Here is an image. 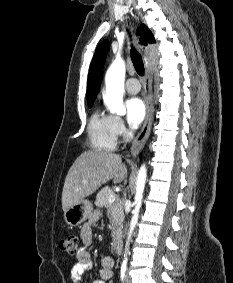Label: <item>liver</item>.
<instances>
[{"label":"liver","mask_w":233,"mask_h":283,"mask_svg":"<svg viewBox=\"0 0 233 283\" xmlns=\"http://www.w3.org/2000/svg\"><path fill=\"white\" fill-rule=\"evenodd\" d=\"M126 176L127 168L119 154L101 150L83 152L66 176L62 192L63 211L90 196L108 181L120 183Z\"/></svg>","instance_id":"obj_1"}]
</instances>
